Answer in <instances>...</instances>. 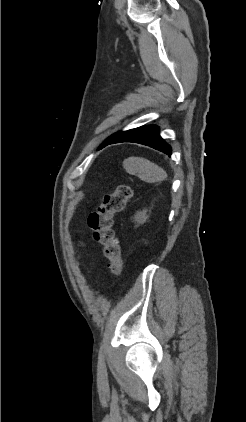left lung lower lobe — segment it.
<instances>
[{"instance_id":"1","label":"left lung lower lobe","mask_w":246,"mask_h":422,"mask_svg":"<svg viewBox=\"0 0 246 422\" xmlns=\"http://www.w3.org/2000/svg\"><path fill=\"white\" fill-rule=\"evenodd\" d=\"M134 142L152 147L167 155H171V147L159 135V128L155 125L141 126L123 132L115 139L106 141L100 149L114 143Z\"/></svg>"}]
</instances>
